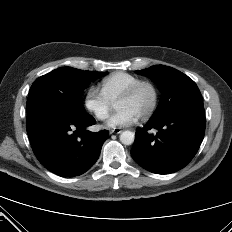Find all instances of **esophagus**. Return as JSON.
<instances>
[{"instance_id": "34e87169", "label": "esophagus", "mask_w": 232, "mask_h": 232, "mask_svg": "<svg viewBox=\"0 0 232 232\" xmlns=\"http://www.w3.org/2000/svg\"><path fill=\"white\" fill-rule=\"evenodd\" d=\"M121 132H122V130L120 128L110 129V134H119Z\"/></svg>"}]
</instances>
